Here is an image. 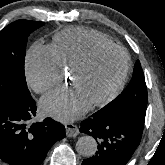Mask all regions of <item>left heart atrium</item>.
<instances>
[{"instance_id":"obj_1","label":"left heart atrium","mask_w":165,"mask_h":165,"mask_svg":"<svg viewBox=\"0 0 165 165\" xmlns=\"http://www.w3.org/2000/svg\"><path fill=\"white\" fill-rule=\"evenodd\" d=\"M40 105L45 114L59 121H72L87 111L90 102L78 88L72 86L48 93Z\"/></svg>"}]
</instances>
